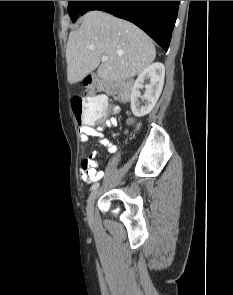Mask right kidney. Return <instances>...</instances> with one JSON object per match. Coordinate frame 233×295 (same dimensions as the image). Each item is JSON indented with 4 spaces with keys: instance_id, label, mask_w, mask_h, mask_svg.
Wrapping results in <instances>:
<instances>
[{
    "instance_id": "right-kidney-1",
    "label": "right kidney",
    "mask_w": 233,
    "mask_h": 295,
    "mask_svg": "<svg viewBox=\"0 0 233 295\" xmlns=\"http://www.w3.org/2000/svg\"><path fill=\"white\" fill-rule=\"evenodd\" d=\"M164 77L165 67L159 62L149 65L138 75L130 95L131 111L134 116L143 117L150 113L162 92ZM145 80H149V83L144 85ZM142 88H145L143 96L140 93Z\"/></svg>"
}]
</instances>
